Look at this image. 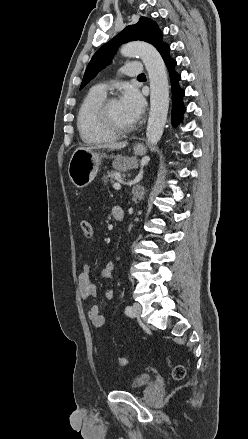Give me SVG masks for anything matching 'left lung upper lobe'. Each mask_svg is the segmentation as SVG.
Returning <instances> with one entry per match:
<instances>
[{
    "mask_svg": "<svg viewBox=\"0 0 248 439\" xmlns=\"http://www.w3.org/2000/svg\"><path fill=\"white\" fill-rule=\"evenodd\" d=\"M135 40L148 42L159 52L167 45L162 42V32L157 24L149 18L141 17L135 25L126 27L96 51L86 68L80 89L93 79L98 71L110 63L112 56L121 44Z\"/></svg>",
    "mask_w": 248,
    "mask_h": 439,
    "instance_id": "1",
    "label": "left lung upper lobe"
}]
</instances>
